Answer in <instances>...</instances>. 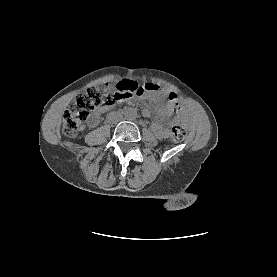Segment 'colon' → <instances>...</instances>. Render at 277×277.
<instances>
[{
	"label": "colon",
	"mask_w": 277,
	"mask_h": 277,
	"mask_svg": "<svg viewBox=\"0 0 277 277\" xmlns=\"http://www.w3.org/2000/svg\"><path fill=\"white\" fill-rule=\"evenodd\" d=\"M144 88L129 80L120 82L116 86L103 85L88 88L66 111L62 125L63 132L68 136H75L84 128L95 111L104 109L119 100L129 99L139 94ZM186 135V130L182 125L175 124L172 127L171 136L174 141H183Z\"/></svg>",
	"instance_id": "1"
}]
</instances>
